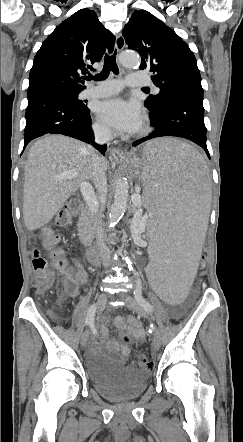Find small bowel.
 I'll use <instances>...</instances> for the list:
<instances>
[{"label":"small bowel","mask_w":243,"mask_h":442,"mask_svg":"<svg viewBox=\"0 0 243 442\" xmlns=\"http://www.w3.org/2000/svg\"><path fill=\"white\" fill-rule=\"evenodd\" d=\"M88 275L79 259H73L72 265L62 280V295L64 297H76L79 294L80 285L87 282ZM114 325L117 329L127 331L134 342L139 343L144 340L145 332L141 322L134 316L116 317ZM104 344L107 349L113 352H119L121 357L129 355V347L108 336L107 321L101 320L99 323V336L96 340Z\"/></svg>","instance_id":"1"}]
</instances>
